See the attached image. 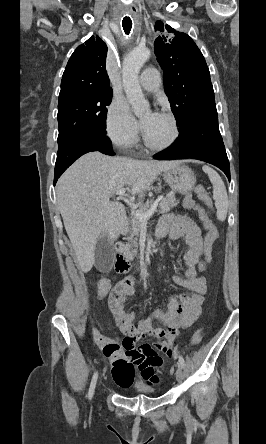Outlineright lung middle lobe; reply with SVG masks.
Wrapping results in <instances>:
<instances>
[{"instance_id":"obj_1","label":"right lung middle lobe","mask_w":266,"mask_h":444,"mask_svg":"<svg viewBox=\"0 0 266 444\" xmlns=\"http://www.w3.org/2000/svg\"><path fill=\"white\" fill-rule=\"evenodd\" d=\"M112 100V90H101L72 96L58 101V152L78 138L91 133H105L106 106Z\"/></svg>"}]
</instances>
